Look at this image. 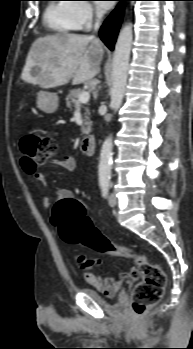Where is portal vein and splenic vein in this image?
Wrapping results in <instances>:
<instances>
[{"label": "portal vein and splenic vein", "instance_id": "portal-vein-and-splenic-vein-1", "mask_svg": "<svg viewBox=\"0 0 193 349\" xmlns=\"http://www.w3.org/2000/svg\"><path fill=\"white\" fill-rule=\"evenodd\" d=\"M90 98V94L88 91H83L79 96H78V102L77 103H86L88 102Z\"/></svg>", "mask_w": 193, "mask_h": 349}]
</instances>
